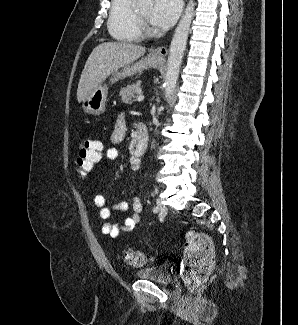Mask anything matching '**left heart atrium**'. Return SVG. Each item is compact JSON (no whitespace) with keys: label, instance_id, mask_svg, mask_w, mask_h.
Instances as JSON below:
<instances>
[{"label":"left heart atrium","instance_id":"39dd6f15","mask_svg":"<svg viewBox=\"0 0 298 325\" xmlns=\"http://www.w3.org/2000/svg\"><path fill=\"white\" fill-rule=\"evenodd\" d=\"M180 10V0H154L150 18L158 29L165 30L175 24Z\"/></svg>","mask_w":298,"mask_h":325}]
</instances>
